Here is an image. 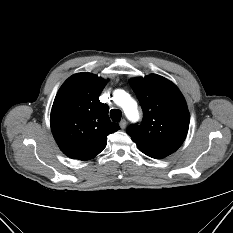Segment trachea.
Returning <instances> with one entry per match:
<instances>
[{
	"label": "trachea",
	"mask_w": 233,
	"mask_h": 233,
	"mask_svg": "<svg viewBox=\"0 0 233 233\" xmlns=\"http://www.w3.org/2000/svg\"><path fill=\"white\" fill-rule=\"evenodd\" d=\"M122 113L118 109H112L110 111V117L114 122H119L121 120Z\"/></svg>",
	"instance_id": "3493384b"
}]
</instances>
